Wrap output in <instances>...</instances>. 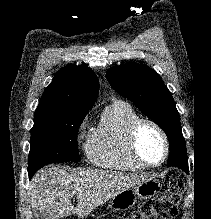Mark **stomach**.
Segmentation results:
<instances>
[{
  "instance_id": "0dacf381",
  "label": "stomach",
  "mask_w": 211,
  "mask_h": 219,
  "mask_svg": "<svg viewBox=\"0 0 211 219\" xmlns=\"http://www.w3.org/2000/svg\"><path fill=\"white\" fill-rule=\"evenodd\" d=\"M161 187L162 185L156 178L150 177L133 188L124 190L111 198L108 208L112 211H125L134 207L137 198H151L160 191Z\"/></svg>"
}]
</instances>
